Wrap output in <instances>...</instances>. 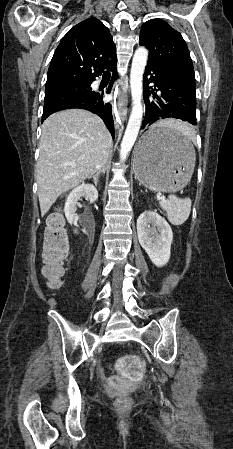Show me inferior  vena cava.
I'll list each match as a JSON object with an SVG mask.
<instances>
[{"instance_id": "602c4592", "label": "inferior vena cava", "mask_w": 233, "mask_h": 449, "mask_svg": "<svg viewBox=\"0 0 233 449\" xmlns=\"http://www.w3.org/2000/svg\"><path fill=\"white\" fill-rule=\"evenodd\" d=\"M110 145H111V138L109 137V146H110ZM106 157H107V153L105 152V153H104V160H103V163H102V164L105 163Z\"/></svg>"}]
</instances>
